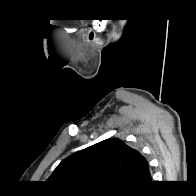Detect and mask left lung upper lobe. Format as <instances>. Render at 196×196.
Instances as JSON below:
<instances>
[{
	"instance_id": "left-lung-upper-lobe-1",
	"label": "left lung upper lobe",
	"mask_w": 196,
	"mask_h": 196,
	"mask_svg": "<svg viewBox=\"0 0 196 196\" xmlns=\"http://www.w3.org/2000/svg\"><path fill=\"white\" fill-rule=\"evenodd\" d=\"M150 176L147 160L118 139H106L64 159L49 177L57 188L88 193H128Z\"/></svg>"
}]
</instances>
